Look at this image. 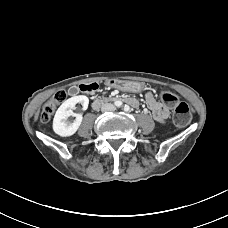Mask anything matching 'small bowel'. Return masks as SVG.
<instances>
[{"instance_id": "small-bowel-1", "label": "small bowel", "mask_w": 228, "mask_h": 228, "mask_svg": "<svg viewBox=\"0 0 228 228\" xmlns=\"http://www.w3.org/2000/svg\"><path fill=\"white\" fill-rule=\"evenodd\" d=\"M109 85L112 87H116L121 90H131L133 86L128 82H121V81H110ZM145 100L147 105L149 106L154 119L160 123H165L166 119L169 115V109L166 105L159 102L152 92L146 91ZM130 104L134 107L138 106V101L136 99L130 98Z\"/></svg>"}]
</instances>
